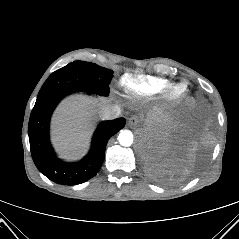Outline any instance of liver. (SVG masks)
I'll use <instances>...</instances> for the list:
<instances>
[{
	"label": "liver",
	"mask_w": 239,
	"mask_h": 239,
	"mask_svg": "<svg viewBox=\"0 0 239 239\" xmlns=\"http://www.w3.org/2000/svg\"><path fill=\"white\" fill-rule=\"evenodd\" d=\"M113 100L72 96L61 102L52 118V141L61 155L74 159L84 152L96 114L101 115Z\"/></svg>",
	"instance_id": "6515ba94"
}]
</instances>
